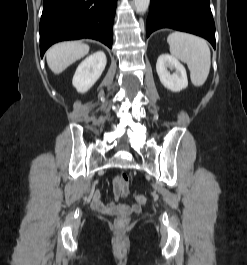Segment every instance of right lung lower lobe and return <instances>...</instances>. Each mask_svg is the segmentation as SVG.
<instances>
[{"mask_svg":"<svg viewBox=\"0 0 247 265\" xmlns=\"http://www.w3.org/2000/svg\"><path fill=\"white\" fill-rule=\"evenodd\" d=\"M117 0H44L40 53L63 40L91 38L112 47Z\"/></svg>","mask_w":247,"mask_h":265,"instance_id":"obj_1","label":"right lung lower lobe"}]
</instances>
